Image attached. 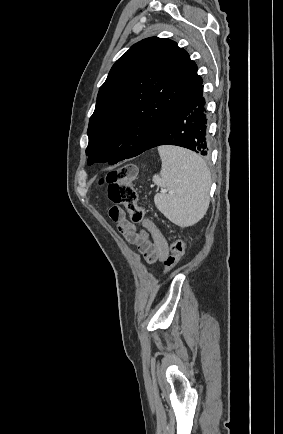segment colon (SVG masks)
I'll use <instances>...</instances> for the list:
<instances>
[{"label":"colon","mask_w":283,"mask_h":434,"mask_svg":"<svg viewBox=\"0 0 283 434\" xmlns=\"http://www.w3.org/2000/svg\"><path fill=\"white\" fill-rule=\"evenodd\" d=\"M137 175V168L133 164H127L109 171L102 179L107 184L109 199L116 205L124 206L135 223L141 222L145 210L138 204V196L133 187ZM184 254V242L176 238L172 240L170 255L166 258L164 272L169 273L181 260Z\"/></svg>","instance_id":"1"}]
</instances>
